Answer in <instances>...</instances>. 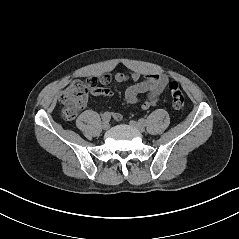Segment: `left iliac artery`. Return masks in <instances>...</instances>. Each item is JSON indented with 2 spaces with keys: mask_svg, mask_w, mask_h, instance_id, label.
I'll list each match as a JSON object with an SVG mask.
<instances>
[{
  "mask_svg": "<svg viewBox=\"0 0 239 239\" xmlns=\"http://www.w3.org/2000/svg\"><path fill=\"white\" fill-rule=\"evenodd\" d=\"M139 122H140L141 124H143L144 126L147 124V121H146L145 119H143V118L140 119Z\"/></svg>",
  "mask_w": 239,
  "mask_h": 239,
  "instance_id": "44dca946",
  "label": "left iliac artery"
}]
</instances>
